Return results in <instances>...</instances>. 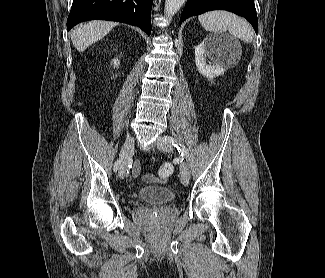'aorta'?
<instances>
[{"mask_svg": "<svg viewBox=\"0 0 325 278\" xmlns=\"http://www.w3.org/2000/svg\"><path fill=\"white\" fill-rule=\"evenodd\" d=\"M186 0H166L164 12L168 16H173L183 6Z\"/></svg>", "mask_w": 325, "mask_h": 278, "instance_id": "762f6f07", "label": "aorta"}]
</instances>
